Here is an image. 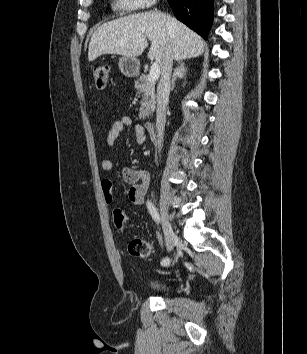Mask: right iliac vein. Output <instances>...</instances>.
I'll list each match as a JSON object with an SVG mask.
<instances>
[{
    "mask_svg": "<svg viewBox=\"0 0 307 354\" xmlns=\"http://www.w3.org/2000/svg\"><path fill=\"white\" fill-rule=\"evenodd\" d=\"M162 222H163L166 248L169 252H171L176 242V235L171 227V224L169 223V221L164 215L162 216Z\"/></svg>",
    "mask_w": 307,
    "mask_h": 354,
    "instance_id": "obj_1",
    "label": "right iliac vein"
}]
</instances>
